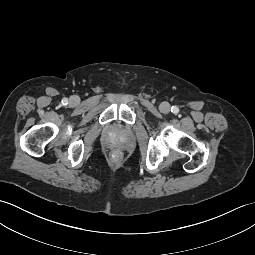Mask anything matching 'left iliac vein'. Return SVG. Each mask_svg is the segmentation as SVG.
Returning <instances> with one entry per match:
<instances>
[{
    "label": "left iliac vein",
    "mask_w": 255,
    "mask_h": 255,
    "mask_svg": "<svg viewBox=\"0 0 255 255\" xmlns=\"http://www.w3.org/2000/svg\"><path fill=\"white\" fill-rule=\"evenodd\" d=\"M159 110L164 114H168L171 110L170 104L167 102H162L159 106Z\"/></svg>",
    "instance_id": "4c4485c4"
}]
</instances>
